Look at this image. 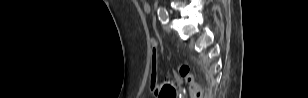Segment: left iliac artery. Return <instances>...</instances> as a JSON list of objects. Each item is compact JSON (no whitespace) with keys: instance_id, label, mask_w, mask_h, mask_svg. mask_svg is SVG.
<instances>
[{"instance_id":"left-iliac-artery-1","label":"left iliac artery","mask_w":308,"mask_h":98,"mask_svg":"<svg viewBox=\"0 0 308 98\" xmlns=\"http://www.w3.org/2000/svg\"><path fill=\"white\" fill-rule=\"evenodd\" d=\"M158 18L162 24L168 23L169 15H168L167 10L164 7L158 8Z\"/></svg>"}]
</instances>
